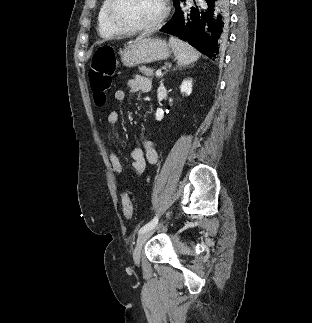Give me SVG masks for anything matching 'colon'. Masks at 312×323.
<instances>
[{
  "mask_svg": "<svg viewBox=\"0 0 312 323\" xmlns=\"http://www.w3.org/2000/svg\"><path fill=\"white\" fill-rule=\"evenodd\" d=\"M116 73L115 51L111 46L98 48L93 57L89 80L93 98L97 103H105L107 100L106 91L113 84V77ZM124 217H133L134 207L131 195L126 193L122 202Z\"/></svg>",
  "mask_w": 312,
  "mask_h": 323,
  "instance_id": "colon-1",
  "label": "colon"
}]
</instances>
